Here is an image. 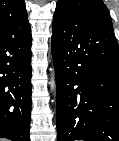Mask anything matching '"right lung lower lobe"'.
Instances as JSON below:
<instances>
[{"instance_id":"right-lung-lower-lobe-1","label":"right lung lower lobe","mask_w":119,"mask_h":141,"mask_svg":"<svg viewBox=\"0 0 119 141\" xmlns=\"http://www.w3.org/2000/svg\"><path fill=\"white\" fill-rule=\"evenodd\" d=\"M31 28L28 17L0 23V137L29 141Z\"/></svg>"}]
</instances>
